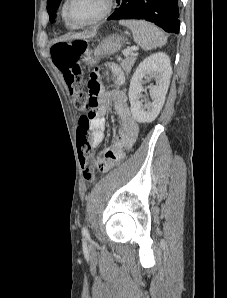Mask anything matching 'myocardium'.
I'll list each match as a JSON object with an SVG mask.
<instances>
[{"mask_svg": "<svg viewBox=\"0 0 227 298\" xmlns=\"http://www.w3.org/2000/svg\"><path fill=\"white\" fill-rule=\"evenodd\" d=\"M71 0H66L65 4H64V16L66 21L73 27H85V26H90L93 24H96L100 21H102L103 19H105L112 11L113 6H114V0H103V9L100 12L99 15H97L96 17H94L93 19L83 22V23H76L74 22L70 15H69V5H70Z\"/></svg>", "mask_w": 227, "mask_h": 298, "instance_id": "f54148a6", "label": "myocardium"}]
</instances>
